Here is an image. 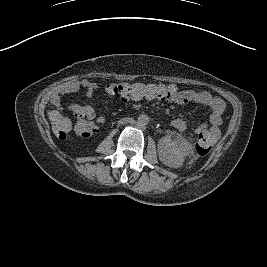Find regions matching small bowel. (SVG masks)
<instances>
[{"label": "small bowel", "mask_w": 267, "mask_h": 267, "mask_svg": "<svg viewBox=\"0 0 267 267\" xmlns=\"http://www.w3.org/2000/svg\"><path fill=\"white\" fill-rule=\"evenodd\" d=\"M176 89V88H175ZM84 90L88 98H94L97 92V84L89 81L82 80L80 82H74L68 85L64 93L71 94L77 91ZM176 104H186L195 103L207 107L210 110V115L207 124H202L195 129L197 134L208 133L214 140V142L220 137L221 131L220 126L222 125V115L225 111L226 105L223 100L213 96L207 91H198L193 89L178 90L177 97L173 100ZM53 105L59 107L61 105V95L57 96ZM68 110L75 114L77 110L81 111L83 117L85 118L86 126H82L79 123L76 125V130L78 133L83 135L86 129L90 130L92 134L98 131V125L103 122L102 119L96 118L94 108L89 105L81 106L77 104H71L68 106ZM57 112H51V117H53ZM171 125L179 130L183 131L187 129L188 122L183 118H176L172 120ZM91 134V135H92ZM85 136V135H83Z\"/></svg>", "instance_id": "obj_1"}]
</instances>
